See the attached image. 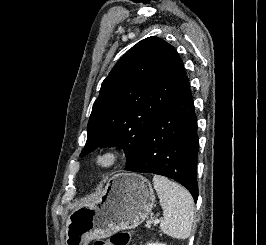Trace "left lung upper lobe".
<instances>
[{
	"instance_id": "1",
	"label": "left lung upper lobe",
	"mask_w": 266,
	"mask_h": 245,
	"mask_svg": "<svg viewBox=\"0 0 266 245\" xmlns=\"http://www.w3.org/2000/svg\"><path fill=\"white\" fill-rule=\"evenodd\" d=\"M185 76L177 51L163 39L151 36L133 46L102 83L80 156L117 146L124 149L130 166L148 128Z\"/></svg>"
}]
</instances>
